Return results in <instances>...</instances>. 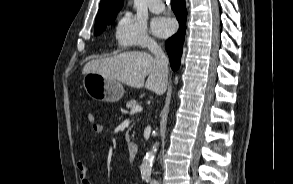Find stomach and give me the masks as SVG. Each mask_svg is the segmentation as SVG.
<instances>
[{
    "instance_id": "0dacf381",
    "label": "stomach",
    "mask_w": 293,
    "mask_h": 184,
    "mask_svg": "<svg viewBox=\"0 0 293 184\" xmlns=\"http://www.w3.org/2000/svg\"><path fill=\"white\" fill-rule=\"evenodd\" d=\"M83 86L87 94L98 101L117 102L124 95V88L120 81L95 72L84 75Z\"/></svg>"
}]
</instances>
